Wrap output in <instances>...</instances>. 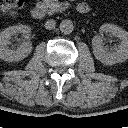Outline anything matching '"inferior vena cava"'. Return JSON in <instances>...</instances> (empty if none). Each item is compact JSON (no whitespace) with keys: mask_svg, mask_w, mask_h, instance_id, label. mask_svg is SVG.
<instances>
[{"mask_svg":"<svg viewBox=\"0 0 128 128\" xmlns=\"http://www.w3.org/2000/svg\"><path fill=\"white\" fill-rule=\"evenodd\" d=\"M55 25H56V22L55 20H47L45 22V28L48 29V30H51V29H54L55 28Z\"/></svg>","mask_w":128,"mask_h":128,"instance_id":"obj_1","label":"inferior vena cava"}]
</instances>
